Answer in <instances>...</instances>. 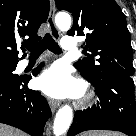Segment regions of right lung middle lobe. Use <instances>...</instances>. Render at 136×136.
I'll list each match as a JSON object with an SVG mask.
<instances>
[{"label": "right lung middle lobe", "instance_id": "right-lung-middle-lobe-1", "mask_svg": "<svg viewBox=\"0 0 136 136\" xmlns=\"http://www.w3.org/2000/svg\"><path fill=\"white\" fill-rule=\"evenodd\" d=\"M17 63L0 64V82H11L18 78L17 74H14Z\"/></svg>", "mask_w": 136, "mask_h": 136}]
</instances>
